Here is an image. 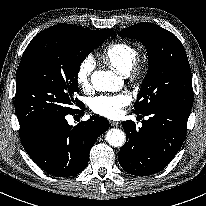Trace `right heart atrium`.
Returning <instances> with one entry per match:
<instances>
[{
  "instance_id": "right-heart-atrium-1",
  "label": "right heart atrium",
  "mask_w": 206,
  "mask_h": 206,
  "mask_svg": "<svg viewBox=\"0 0 206 206\" xmlns=\"http://www.w3.org/2000/svg\"><path fill=\"white\" fill-rule=\"evenodd\" d=\"M96 63L92 57H85L79 64L76 71V82L83 90L91 88V77L95 70Z\"/></svg>"
}]
</instances>
